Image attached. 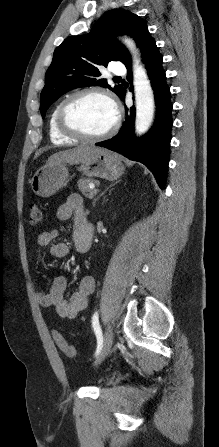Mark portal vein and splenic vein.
Instances as JSON below:
<instances>
[{
  "label": "portal vein and splenic vein",
  "instance_id": "1",
  "mask_svg": "<svg viewBox=\"0 0 219 447\" xmlns=\"http://www.w3.org/2000/svg\"><path fill=\"white\" fill-rule=\"evenodd\" d=\"M89 188L92 189L95 194L98 192L97 189H95L94 184H92V183L89 184Z\"/></svg>",
  "mask_w": 219,
  "mask_h": 447
}]
</instances>
